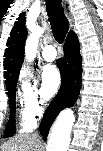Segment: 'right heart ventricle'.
I'll use <instances>...</instances> for the list:
<instances>
[{
    "instance_id": "obj_1",
    "label": "right heart ventricle",
    "mask_w": 103,
    "mask_h": 151,
    "mask_svg": "<svg viewBox=\"0 0 103 151\" xmlns=\"http://www.w3.org/2000/svg\"><path fill=\"white\" fill-rule=\"evenodd\" d=\"M19 124L21 131L27 132L34 128L35 119H32L29 116H27L23 110V112H21L19 116Z\"/></svg>"
}]
</instances>
